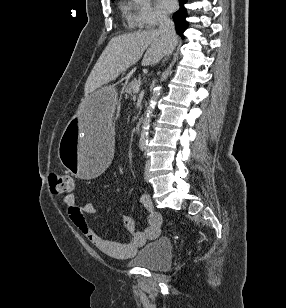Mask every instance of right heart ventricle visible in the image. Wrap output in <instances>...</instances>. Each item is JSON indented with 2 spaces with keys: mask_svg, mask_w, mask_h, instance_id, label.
<instances>
[{
  "mask_svg": "<svg viewBox=\"0 0 286 308\" xmlns=\"http://www.w3.org/2000/svg\"><path fill=\"white\" fill-rule=\"evenodd\" d=\"M121 9L123 13L126 15L127 20L131 23V16L129 15V8L125 4H123L121 6Z\"/></svg>",
  "mask_w": 286,
  "mask_h": 308,
  "instance_id": "obj_1",
  "label": "right heart ventricle"
}]
</instances>
